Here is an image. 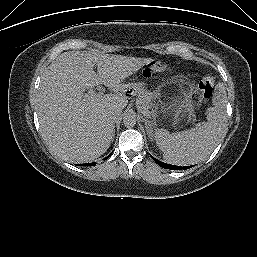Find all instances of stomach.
Masks as SVG:
<instances>
[{
  "mask_svg": "<svg viewBox=\"0 0 257 257\" xmlns=\"http://www.w3.org/2000/svg\"><path fill=\"white\" fill-rule=\"evenodd\" d=\"M128 88H129L130 90H135V91L138 93V92L144 90L145 84H143V83L130 84V85H128Z\"/></svg>",
  "mask_w": 257,
  "mask_h": 257,
  "instance_id": "stomach-1",
  "label": "stomach"
}]
</instances>
